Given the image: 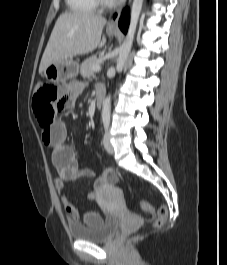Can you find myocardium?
Segmentation results:
<instances>
[{
	"label": "myocardium",
	"instance_id": "1",
	"mask_svg": "<svg viewBox=\"0 0 227 265\" xmlns=\"http://www.w3.org/2000/svg\"><path fill=\"white\" fill-rule=\"evenodd\" d=\"M96 3L100 6H109L110 5V0H95Z\"/></svg>",
	"mask_w": 227,
	"mask_h": 265
}]
</instances>
